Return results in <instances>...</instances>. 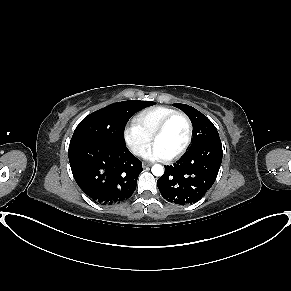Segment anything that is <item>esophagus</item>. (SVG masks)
Segmentation results:
<instances>
[{
  "mask_svg": "<svg viewBox=\"0 0 291 291\" xmlns=\"http://www.w3.org/2000/svg\"><path fill=\"white\" fill-rule=\"evenodd\" d=\"M142 166H143V168H147V167L151 166V164L143 162Z\"/></svg>",
  "mask_w": 291,
  "mask_h": 291,
  "instance_id": "34e87169",
  "label": "esophagus"
}]
</instances>
